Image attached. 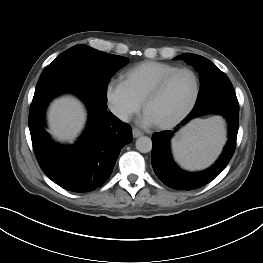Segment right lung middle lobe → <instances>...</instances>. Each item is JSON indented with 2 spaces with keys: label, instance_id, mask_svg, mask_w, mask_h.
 <instances>
[{
  "label": "right lung middle lobe",
  "instance_id": "obj_1",
  "mask_svg": "<svg viewBox=\"0 0 263 263\" xmlns=\"http://www.w3.org/2000/svg\"><path fill=\"white\" fill-rule=\"evenodd\" d=\"M126 57L95 50L87 45H75L54 59L42 72L34 99L63 89H81L101 103H107L110 78L125 64Z\"/></svg>",
  "mask_w": 263,
  "mask_h": 263
}]
</instances>
